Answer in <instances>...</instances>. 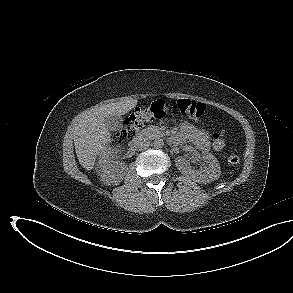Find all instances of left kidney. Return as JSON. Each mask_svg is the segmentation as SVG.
<instances>
[{"mask_svg":"<svg viewBox=\"0 0 293 293\" xmlns=\"http://www.w3.org/2000/svg\"><path fill=\"white\" fill-rule=\"evenodd\" d=\"M207 165L198 170L191 168L188 160L178 157L175 160L179 171L199 183H209L217 180L221 175L220 164L217 158L211 153H204L202 156Z\"/></svg>","mask_w":293,"mask_h":293,"instance_id":"left-kidney-1","label":"left kidney"}]
</instances>
